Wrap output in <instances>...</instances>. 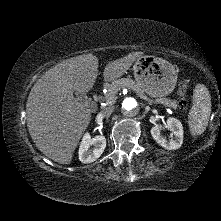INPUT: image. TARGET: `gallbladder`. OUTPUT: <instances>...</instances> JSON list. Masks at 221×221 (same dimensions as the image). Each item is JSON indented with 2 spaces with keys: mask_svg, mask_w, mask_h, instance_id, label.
Wrapping results in <instances>:
<instances>
[{
  "mask_svg": "<svg viewBox=\"0 0 221 221\" xmlns=\"http://www.w3.org/2000/svg\"><path fill=\"white\" fill-rule=\"evenodd\" d=\"M75 95L77 96L78 100H80L82 102L86 101V99H87L85 94L76 93Z\"/></svg>",
  "mask_w": 221,
  "mask_h": 221,
  "instance_id": "obj_1",
  "label": "gallbladder"
}]
</instances>
